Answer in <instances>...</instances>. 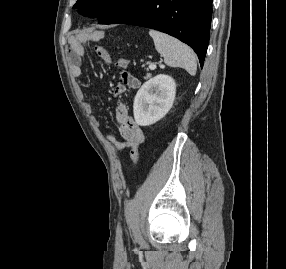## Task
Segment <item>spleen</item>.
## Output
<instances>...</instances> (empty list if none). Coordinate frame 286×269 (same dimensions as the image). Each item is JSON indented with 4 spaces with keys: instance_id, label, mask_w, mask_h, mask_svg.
Instances as JSON below:
<instances>
[{
    "instance_id": "3e777b00",
    "label": "spleen",
    "mask_w": 286,
    "mask_h": 269,
    "mask_svg": "<svg viewBox=\"0 0 286 269\" xmlns=\"http://www.w3.org/2000/svg\"><path fill=\"white\" fill-rule=\"evenodd\" d=\"M156 50L164 57V62L170 67L184 68L194 76L197 71V60L190 47L165 33L150 30Z\"/></svg>"
}]
</instances>
